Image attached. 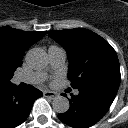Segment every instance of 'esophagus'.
Instances as JSON below:
<instances>
[{
	"label": "esophagus",
	"mask_w": 128,
	"mask_h": 128,
	"mask_svg": "<svg viewBox=\"0 0 128 128\" xmlns=\"http://www.w3.org/2000/svg\"><path fill=\"white\" fill-rule=\"evenodd\" d=\"M43 96L47 97V98L54 99L57 96V93L53 92V91H44Z\"/></svg>",
	"instance_id": "1"
}]
</instances>
